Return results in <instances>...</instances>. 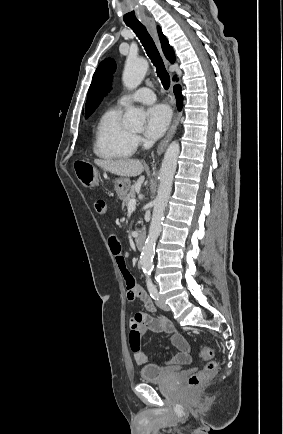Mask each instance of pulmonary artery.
<instances>
[{
  "instance_id": "obj_1",
  "label": "pulmonary artery",
  "mask_w": 283,
  "mask_h": 434,
  "mask_svg": "<svg viewBox=\"0 0 283 434\" xmlns=\"http://www.w3.org/2000/svg\"><path fill=\"white\" fill-rule=\"evenodd\" d=\"M156 99L154 92L146 87H142L131 94H125L118 99V106L124 107L132 102H140L144 104L153 103Z\"/></svg>"
}]
</instances>
